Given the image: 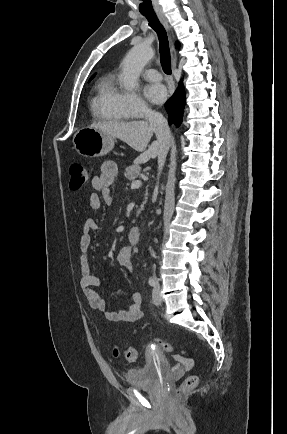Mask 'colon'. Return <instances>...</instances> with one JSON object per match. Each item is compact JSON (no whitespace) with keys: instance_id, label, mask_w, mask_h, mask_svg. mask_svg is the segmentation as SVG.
<instances>
[{"instance_id":"5ec220e1","label":"colon","mask_w":287,"mask_h":434,"mask_svg":"<svg viewBox=\"0 0 287 434\" xmlns=\"http://www.w3.org/2000/svg\"><path fill=\"white\" fill-rule=\"evenodd\" d=\"M70 176V189L78 190L88 182V180L90 179V172L84 165L80 163H74L70 167ZM154 344L156 347L162 349L163 351L173 354L174 357L178 360L188 361L190 359V353L185 348H176L172 344L160 339H156L154 341ZM114 355L116 357H122L130 362L136 361L137 359V351L133 347H127L124 349L115 347ZM198 381L199 379L196 375L188 376L183 381L181 386L176 390L175 398H181L186 392L194 389L197 386Z\"/></svg>"}]
</instances>
